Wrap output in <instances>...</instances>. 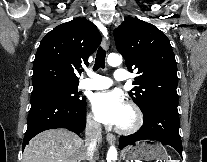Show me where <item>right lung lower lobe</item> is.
Segmentation results:
<instances>
[{
    "label": "right lung lower lobe",
    "instance_id": "obj_1",
    "mask_svg": "<svg viewBox=\"0 0 207 162\" xmlns=\"http://www.w3.org/2000/svg\"><path fill=\"white\" fill-rule=\"evenodd\" d=\"M86 123V101L72 104L57 96H42L31 99L28 127L22 149L38 133L55 128H66L77 134Z\"/></svg>",
    "mask_w": 207,
    "mask_h": 162
}]
</instances>
